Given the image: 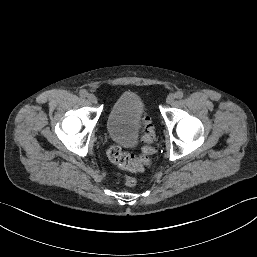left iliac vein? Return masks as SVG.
I'll return each instance as SVG.
<instances>
[{"mask_svg":"<svg viewBox=\"0 0 257 257\" xmlns=\"http://www.w3.org/2000/svg\"><path fill=\"white\" fill-rule=\"evenodd\" d=\"M174 100H175V95H174V94H169V95L167 96V98H166V103H167V104H171V103L174 102Z\"/></svg>","mask_w":257,"mask_h":257,"instance_id":"4c4485c4","label":"left iliac vein"}]
</instances>
